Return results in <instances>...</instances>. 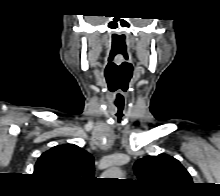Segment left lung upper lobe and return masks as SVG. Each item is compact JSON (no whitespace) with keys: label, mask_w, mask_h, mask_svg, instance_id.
I'll use <instances>...</instances> for the list:
<instances>
[{"label":"left lung upper lobe","mask_w":220,"mask_h":196,"mask_svg":"<svg viewBox=\"0 0 220 196\" xmlns=\"http://www.w3.org/2000/svg\"><path fill=\"white\" fill-rule=\"evenodd\" d=\"M139 181L160 190L179 191L192 184L187 170L175 158L159 154L146 156L134 164Z\"/></svg>","instance_id":"obj_1"}]
</instances>
